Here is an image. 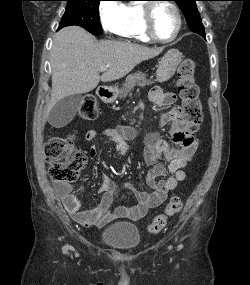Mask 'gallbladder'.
<instances>
[{"instance_id": "1", "label": "gallbladder", "mask_w": 250, "mask_h": 285, "mask_svg": "<svg viewBox=\"0 0 250 285\" xmlns=\"http://www.w3.org/2000/svg\"><path fill=\"white\" fill-rule=\"evenodd\" d=\"M83 103L80 94L70 95L57 102L48 115V122L56 128L66 126L75 117Z\"/></svg>"}]
</instances>
